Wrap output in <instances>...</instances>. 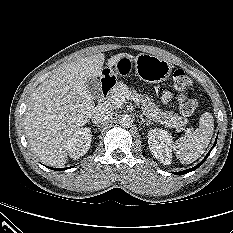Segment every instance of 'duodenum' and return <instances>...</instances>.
I'll list each match as a JSON object with an SVG mask.
<instances>
[{"label": "duodenum", "mask_w": 233, "mask_h": 233, "mask_svg": "<svg viewBox=\"0 0 233 233\" xmlns=\"http://www.w3.org/2000/svg\"><path fill=\"white\" fill-rule=\"evenodd\" d=\"M114 85L115 79L113 77L107 76L102 79L100 86V94L102 99H104L109 94Z\"/></svg>", "instance_id": "410a0bca"}]
</instances>
